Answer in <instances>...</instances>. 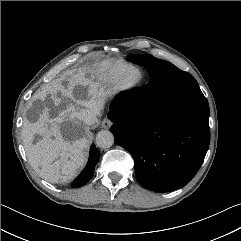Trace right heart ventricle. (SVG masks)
Instances as JSON below:
<instances>
[{
  "mask_svg": "<svg viewBox=\"0 0 241 241\" xmlns=\"http://www.w3.org/2000/svg\"><path fill=\"white\" fill-rule=\"evenodd\" d=\"M129 64L124 62H115L108 64L102 72V78L109 84H114L118 75L128 66Z\"/></svg>",
  "mask_w": 241,
  "mask_h": 241,
  "instance_id": "1",
  "label": "right heart ventricle"
}]
</instances>
